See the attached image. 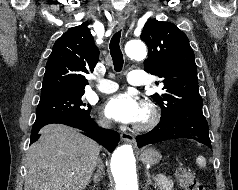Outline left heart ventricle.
Wrapping results in <instances>:
<instances>
[{"label": "left heart ventricle", "instance_id": "b2bd125f", "mask_svg": "<svg viewBox=\"0 0 238 190\" xmlns=\"http://www.w3.org/2000/svg\"><path fill=\"white\" fill-rule=\"evenodd\" d=\"M143 117H144V113H143V111H142V109H141V112H140V115H139V118H138L137 121L143 119Z\"/></svg>", "mask_w": 238, "mask_h": 190}]
</instances>
